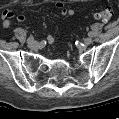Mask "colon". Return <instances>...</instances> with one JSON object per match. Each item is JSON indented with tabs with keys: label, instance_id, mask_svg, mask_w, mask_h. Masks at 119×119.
I'll use <instances>...</instances> for the list:
<instances>
[{
	"label": "colon",
	"instance_id": "colon-1",
	"mask_svg": "<svg viewBox=\"0 0 119 119\" xmlns=\"http://www.w3.org/2000/svg\"><path fill=\"white\" fill-rule=\"evenodd\" d=\"M113 17V11L111 8L106 7L102 10H100L97 14H96V18L100 21L103 22H108L112 19Z\"/></svg>",
	"mask_w": 119,
	"mask_h": 119
}]
</instances>
